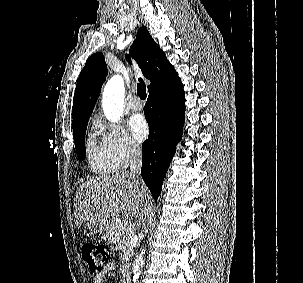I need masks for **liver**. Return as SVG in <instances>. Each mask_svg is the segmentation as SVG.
I'll list each match as a JSON object with an SVG mask.
<instances>
[{
    "label": "liver",
    "instance_id": "obj_1",
    "mask_svg": "<svg viewBox=\"0 0 303 283\" xmlns=\"http://www.w3.org/2000/svg\"><path fill=\"white\" fill-rule=\"evenodd\" d=\"M147 195L140 177L127 172L90 178L82 183L75 198L76 226L101 219L113 222L120 213L125 219L136 218Z\"/></svg>",
    "mask_w": 303,
    "mask_h": 283
}]
</instances>
